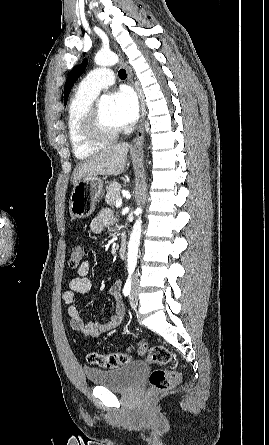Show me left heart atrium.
<instances>
[{
    "mask_svg": "<svg viewBox=\"0 0 269 445\" xmlns=\"http://www.w3.org/2000/svg\"><path fill=\"white\" fill-rule=\"evenodd\" d=\"M113 117L120 127L132 125L138 117V101L130 88L123 87L113 94Z\"/></svg>",
    "mask_w": 269,
    "mask_h": 445,
    "instance_id": "obj_1",
    "label": "left heart atrium"
}]
</instances>
